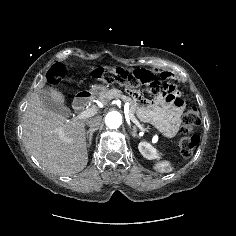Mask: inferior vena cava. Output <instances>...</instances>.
<instances>
[{"instance_id": "obj_1", "label": "inferior vena cava", "mask_w": 236, "mask_h": 236, "mask_svg": "<svg viewBox=\"0 0 236 236\" xmlns=\"http://www.w3.org/2000/svg\"><path fill=\"white\" fill-rule=\"evenodd\" d=\"M101 116H95L87 119L86 125L90 127V129H98L101 124Z\"/></svg>"}]
</instances>
